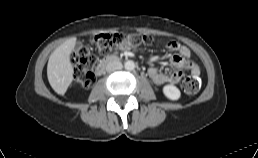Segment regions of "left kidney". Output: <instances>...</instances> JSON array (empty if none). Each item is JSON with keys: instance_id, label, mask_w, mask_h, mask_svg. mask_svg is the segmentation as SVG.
Here are the masks:
<instances>
[{"instance_id": "left-kidney-1", "label": "left kidney", "mask_w": 258, "mask_h": 158, "mask_svg": "<svg viewBox=\"0 0 258 158\" xmlns=\"http://www.w3.org/2000/svg\"><path fill=\"white\" fill-rule=\"evenodd\" d=\"M164 95L170 100H178L181 96L180 90L174 85H165L163 87Z\"/></svg>"}]
</instances>
